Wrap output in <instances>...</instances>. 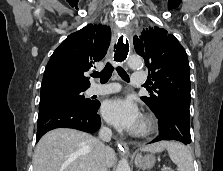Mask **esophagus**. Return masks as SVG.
Segmentation results:
<instances>
[{"label":"esophagus","mask_w":223,"mask_h":171,"mask_svg":"<svg viewBox=\"0 0 223 171\" xmlns=\"http://www.w3.org/2000/svg\"><path fill=\"white\" fill-rule=\"evenodd\" d=\"M131 38L130 34H126L125 30L121 31V34H119V38L117 41V51H114L113 55V63L114 65H117L120 61L122 63L128 59V50H131ZM118 148L123 152H128L129 147L127 143L125 142H119Z\"/></svg>","instance_id":"obj_1"}]
</instances>
